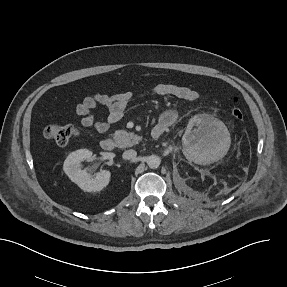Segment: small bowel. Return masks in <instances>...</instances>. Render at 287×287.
I'll return each mask as SVG.
<instances>
[{
    "instance_id": "c3829d8e",
    "label": "small bowel",
    "mask_w": 287,
    "mask_h": 287,
    "mask_svg": "<svg viewBox=\"0 0 287 287\" xmlns=\"http://www.w3.org/2000/svg\"><path fill=\"white\" fill-rule=\"evenodd\" d=\"M152 94L157 96H169L187 102H194L199 98L198 92L185 85L159 83L152 87ZM130 91L109 95L105 93H95L85 97L75 107V113L80 118V123L85 128H93L99 133H106L110 127L121 120L127 105L133 98ZM103 106L107 109V117L104 120L96 119L93 111ZM178 114L175 109H167L158 117L156 126L162 125L164 130L171 127L177 120Z\"/></svg>"
}]
</instances>
